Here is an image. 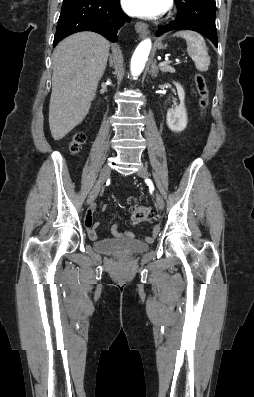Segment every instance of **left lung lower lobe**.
I'll return each instance as SVG.
<instances>
[{
  "label": "left lung lower lobe",
  "instance_id": "left-lung-lower-lobe-1",
  "mask_svg": "<svg viewBox=\"0 0 254 397\" xmlns=\"http://www.w3.org/2000/svg\"><path fill=\"white\" fill-rule=\"evenodd\" d=\"M178 8L176 19L168 25L159 26L156 36L176 29L199 32L210 39L217 47L215 25V0H175Z\"/></svg>",
  "mask_w": 254,
  "mask_h": 397
}]
</instances>
